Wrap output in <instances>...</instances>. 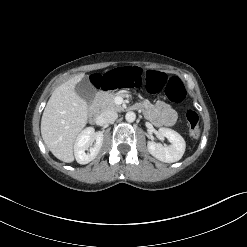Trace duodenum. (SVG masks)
<instances>
[{"mask_svg":"<svg viewBox=\"0 0 247 247\" xmlns=\"http://www.w3.org/2000/svg\"><path fill=\"white\" fill-rule=\"evenodd\" d=\"M89 118L91 120L95 119L98 115V110L95 105L90 106L89 111H88Z\"/></svg>","mask_w":247,"mask_h":247,"instance_id":"410a0bca","label":"duodenum"}]
</instances>
